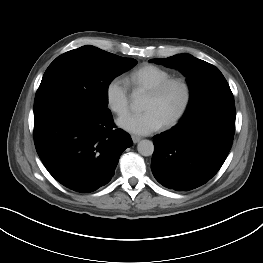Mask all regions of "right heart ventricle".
Here are the masks:
<instances>
[{"label": "right heart ventricle", "mask_w": 263, "mask_h": 263, "mask_svg": "<svg viewBox=\"0 0 263 263\" xmlns=\"http://www.w3.org/2000/svg\"><path fill=\"white\" fill-rule=\"evenodd\" d=\"M170 77L171 73L164 68L145 64L128 73L125 80L135 90L148 91Z\"/></svg>", "instance_id": "right-heart-ventricle-1"}]
</instances>
